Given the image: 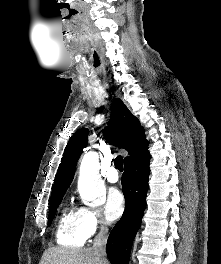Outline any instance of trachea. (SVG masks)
Returning <instances> with one entry per match:
<instances>
[{
    "mask_svg": "<svg viewBox=\"0 0 221 264\" xmlns=\"http://www.w3.org/2000/svg\"><path fill=\"white\" fill-rule=\"evenodd\" d=\"M114 165L119 171H123V157L121 155L114 159Z\"/></svg>",
    "mask_w": 221,
    "mask_h": 264,
    "instance_id": "obj_1",
    "label": "trachea"
}]
</instances>
